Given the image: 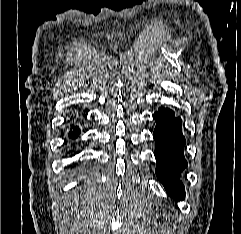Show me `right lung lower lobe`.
Wrapping results in <instances>:
<instances>
[{"label": "right lung lower lobe", "mask_w": 241, "mask_h": 234, "mask_svg": "<svg viewBox=\"0 0 241 234\" xmlns=\"http://www.w3.org/2000/svg\"><path fill=\"white\" fill-rule=\"evenodd\" d=\"M80 134V130L77 126H71V131L69 132V136L74 139Z\"/></svg>", "instance_id": "98d812e1"}]
</instances>
